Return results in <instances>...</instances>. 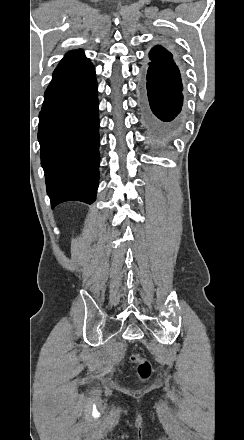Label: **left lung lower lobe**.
<instances>
[{
	"label": "left lung lower lobe",
	"instance_id": "1",
	"mask_svg": "<svg viewBox=\"0 0 244 440\" xmlns=\"http://www.w3.org/2000/svg\"><path fill=\"white\" fill-rule=\"evenodd\" d=\"M182 90L173 56L169 61L150 57L148 66L140 73L137 92L141 122L152 143L169 144L181 133Z\"/></svg>",
	"mask_w": 244,
	"mask_h": 440
}]
</instances>
